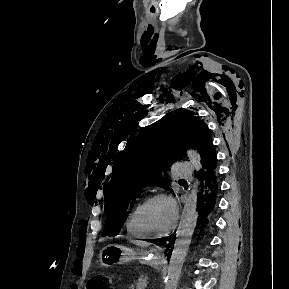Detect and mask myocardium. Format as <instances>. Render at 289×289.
I'll use <instances>...</instances> for the list:
<instances>
[{"label": "myocardium", "mask_w": 289, "mask_h": 289, "mask_svg": "<svg viewBox=\"0 0 289 289\" xmlns=\"http://www.w3.org/2000/svg\"><path fill=\"white\" fill-rule=\"evenodd\" d=\"M160 199L167 200L168 202H170V204L172 205V208H173L174 216H173L172 223L170 224V226L167 229L160 231V232H156V231L148 230L144 227V225L142 223V213L150 203H152L155 200H160ZM178 219H179V211H178L177 204H176L175 200L170 195H168L166 193H154V194L148 196L139 205V207L136 211V215H135V221H136L138 228L148 237H163V236L170 234L174 230V228L176 227Z\"/></svg>", "instance_id": "1"}]
</instances>
